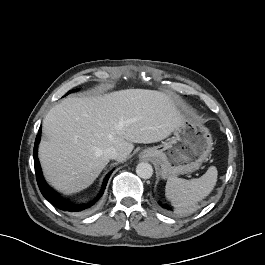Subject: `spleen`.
<instances>
[{
  "instance_id": "1",
  "label": "spleen",
  "mask_w": 265,
  "mask_h": 265,
  "mask_svg": "<svg viewBox=\"0 0 265 265\" xmlns=\"http://www.w3.org/2000/svg\"><path fill=\"white\" fill-rule=\"evenodd\" d=\"M217 169L209 167L200 178L186 180L169 177L165 186V195L175 206L193 205L210 194L217 182Z\"/></svg>"
}]
</instances>
